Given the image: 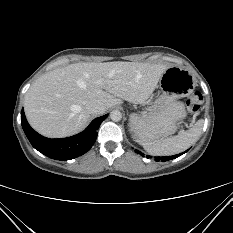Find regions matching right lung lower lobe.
Here are the masks:
<instances>
[{"label": "right lung lower lobe", "mask_w": 233, "mask_h": 233, "mask_svg": "<svg viewBox=\"0 0 233 233\" xmlns=\"http://www.w3.org/2000/svg\"><path fill=\"white\" fill-rule=\"evenodd\" d=\"M108 114L94 119L81 133L62 139H49L34 131L21 111L22 128L32 146L42 154L56 160H70L86 153L94 144L97 130Z\"/></svg>", "instance_id": "1"}]
</instances>
